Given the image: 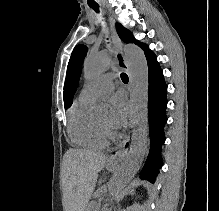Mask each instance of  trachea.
<instances>
[{
	"label": "trachea",
	"mask_w": 219,
	"mask_h": 211,
	"mask_svg": "<svg viewBox=\"0 0 219 211\" xmlns=\"http://www.w3.org/2000/svg\"><path fill=\"white\" fill-rule=\"evenodd\" d=\"M90 8H92L95 12H99V5H89ZM121 80L123 81V83H128V76L126 75V73H121Z\"/></svg>",
	"instance_id": "3493384b"
}]
</instances>
